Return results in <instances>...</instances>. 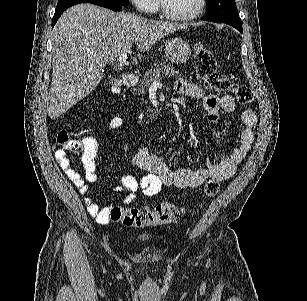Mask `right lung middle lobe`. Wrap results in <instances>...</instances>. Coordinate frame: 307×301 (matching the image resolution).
<instances>
[{
	"mask_svg": "<svg viewBox=\"0 0 307 301\" xmlns=\"http://www.w3.org/2000/svg\"><path fill=\"white\" fill-rule=\"evenodd\" d=\"M89 1H91V0H58L56 9L66 7V6H70V5H74V4H78V3H85V2H89ZM99 1L109 2V3H117L121 6L128 5V0H99Z\"/></svg>",
	"mask_w": 307,
	"mask_h": 301,
	"instance_id": "obj_1",
	"label": "right lung middle lobe"
}]
</instances>
